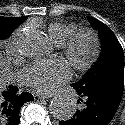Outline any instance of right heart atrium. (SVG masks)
<instances>
[{
  "label": "right heart atrium",
  "mask_w": 125,
  "mask_h": 125,
  "mask_svg": "<svg viewBox=\"0 0 125 125\" xmlns=\"http://www.w3.org/2000/svg\"><path fill=\"white\" fill-rule=\"evenodd\" d=\"M22 34H23V30L19 29L11 37V39L9 41L11 53H17L18 52V41L22 37Z\"/></svg>",
  "instance_id": "right-heart-atrium-1"
}]
</instances>
